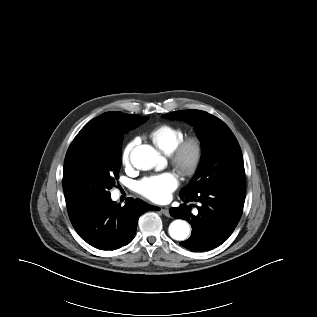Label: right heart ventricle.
<instances>
[{
  "label": "right heart ventricle",
  "instance_id": "e07e8e85",
  "mask_svg": "<svg viewBox=\"0 0 317 317\" xmlns=\"http://www.w3.org/2000/svg\"><path fill=\"white\" fill-rule=\"evenodd\" d=\"M185 131L171 124H160L152 128L148 137L164 153L170 154L184 138Z\"/></svg>",
  "mask_w": 317,
  "mask_h": 317
}]
</instances>
